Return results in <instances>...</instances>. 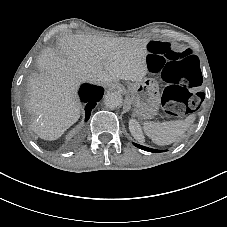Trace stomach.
I'll use <instances>...</instances> for the list:
<instances>
[{
	"label": "stomach",
	"mask_w": 227,
	"mask_h": 227,
	"mask_svg": "<svg viewBox=\"0 0 227 227\" xmlns=\"http://www.w3.org/2000/svg\"><path fill=\"white\" fill-rule=\"evenodd\" d=\"M135 114L141 118L151 119L160 108V94L157 83L152 78H144L129 87Z\"/></svg>",
	"instance_id": "stomach-1"
}]
</instances>
